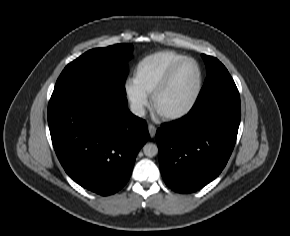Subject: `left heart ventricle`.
Masks as SVG:
<instances>
[{
	"mask_svg": "<svg viewBox=\"0 0 290 236\" xmlns=\"http://www.w3.org/2000/svg\"><path fill=\"white\" fill-rule=\"evenodd\" d=\"M197 78V69L193 63L186 62L181 65L168 87L157 98V108L160 111L172 112L185 107L195 92Z\"/></svg>",
	"mask_w": 290,
	"mask_h": 236,
	"instance_id": "b2bd125f",
	"label": "left heart ventricle"
}]
</instances>
